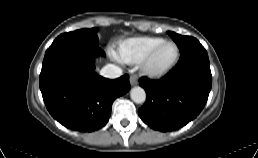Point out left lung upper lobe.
Here are the masks:
<instances>
[{"mask_svg":"<svg viewBox=\"0 0 258 158\" xmlns=\"http://www.w3.org/2000/svg\"><path fill=\"white\" fill-rule=\"evenodd\" d=\"M170 37L176 42L180 52H183L185 49H187L190 45L196 43L198 40L190 37V36H182L179 34H176L174 32L168 31L167 32Z\"/></svg>","mask_w":258,"mask_h":158,"instance_id":"1","label":"left lung upper lobe"}]
</instances>
